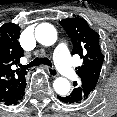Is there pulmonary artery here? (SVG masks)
Returning <instances> with one entry per match:
<instances>
[{
  "label": "pulmonary artery",
  "instance_id": "1",
  "mask_svg": "<svg viewBox=\"0 0 117 117\" xmlns=\"http://www.w3.org/2000/svg\"><path fill=\"white\" fill-rule=\"evenodd\" d=\"M55 62L65 77L73 79L76 76V71L70 62L68 46L66 43L59 42L57 44L55 49Z\"/></svg>",
  "mask_w": 117,
  "mask_h": 117
}]
</instances>
